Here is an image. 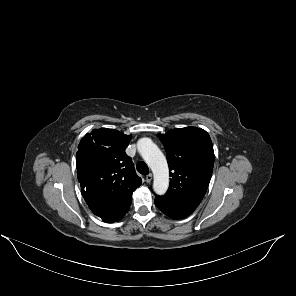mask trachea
<instances>
[{"mask_svg": "<svg viewBox=\"0 0 296 296\" xmlns=\"http://www.w3.org/2000/svg\"><path fill=\"white\" fill-rule=\"evenodd\" d=\"M136 167L138 172L141 173L142 175H147L149 173V168L147 164L144 162H139Z\"/></svg>", "mask_w": 296, "mask_h": 296, "instance_id": "3493384b", "label": "trachea"}]
</instances>
